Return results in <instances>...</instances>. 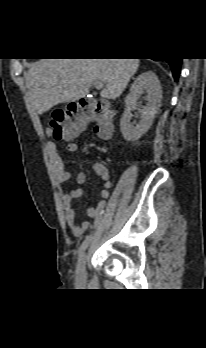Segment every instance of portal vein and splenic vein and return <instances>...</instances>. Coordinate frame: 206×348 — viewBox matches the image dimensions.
Here are the masks:
<instances>
[{"label": "portal vein and splenic vein", "instance_id": "portal-vein-and-splenic-vein-1", "mask_svg": "<svg viewBox=\"0 0 206 348\" xmlns=\"http://www.w3.org/2000/svg\"><path fill=\"white\" fill-rule=\"evenodd\" d=\"M95 86L97 89H100V88H102L103 84L100 81H96Z\"/></svg>", "mask_w": 206, "mask_h": 348}]
</instances>
